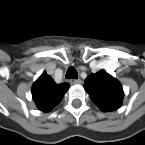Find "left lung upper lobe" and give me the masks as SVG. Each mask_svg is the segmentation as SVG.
<instances>
[{"mask_svg":"<svg viewBox=\"0 0 145 145\" xmlns=\"http://www.w3.org/2000/svg\"><path fill=\"white\" fill-rule=\"evenodd\" d=\"M84 88L102 111H114L121 107L124 96L122 86L106 71L100 70L88 76Z\"/></svg>","mask_w":145,"mask_h":145,"instance_id":"obj_1","label":"left lung upper lobe"}]
</instances>
